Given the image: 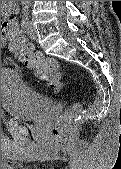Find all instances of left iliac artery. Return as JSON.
Returning a JSON list of instances; mask_svg holds the SVG:
<instances>
[{
    "label": "left iliac artery",
    "mask_w": 121,
    "mask_h": 169,
    "mask_svg": "<svg viewBox=\"0 0 121 169\" xmlns=\"http://www.w3.org/2000/svg\"><path fill=\"white\" fill-rule=\"evenodd\" d=\"M24 16L22 18V21H21V28L22 30H26L27 26H28V23H29V18H28V13H27V10L24 9Z\"/></svg>",
    "instance_id": "left-iliac-artery-1"
}]
</instances>
